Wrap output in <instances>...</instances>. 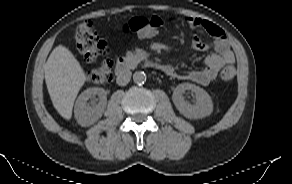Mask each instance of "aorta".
<instances>
[{
	"mask_svg": "<svg viewBox=\"0 0 292 184\" xmlns=\"http://www.w3.org/2000/svg\"><path fill=\"white\" fill-rule=\"evenodd\" d=\"M147 76L143 71H136L133 74V81L136 84H144L146 82Z\"/></svg>",
	"mask_w": 292,
	"mask_h": 184,
	"instance_id": "obj_1",
	"label": "aorta"
}]
</instances>
